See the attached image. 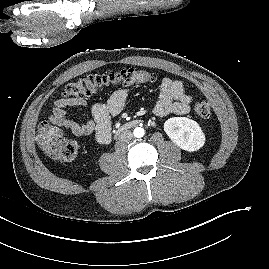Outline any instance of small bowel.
<instances>
[{"instance_id": "c3829d8e", "label": "small bowel", "mask_w": 269, "mask_h": 269, "mask_svg": "<svg viewBox=\"0 0 269 269\" xmlns=\"http://www.w3.org/2000/svg\"><path fill=\"white\" fill-rule=\"evenodd\" d=\"M129 90H116L105 103H96L91 108V118L83 123L70 119L67 107H86L85 99L61 98L55 101L50 122L57 127L68 129L78 137L94 134L97 141L106 144L111 139V118L125 108ZM192 97L186 93L183 83L169 77L160 82V93L154 107L157 116L169 114L186 115L191 109Z\"/></svg>"}]
</instances>
